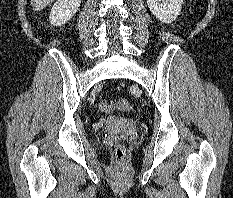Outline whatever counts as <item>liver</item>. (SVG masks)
I'll use <instances>...</instances> for the list:
<instances>
[{"label": "liver", "instance_id": "liver-1", "mask_svg": "<svg viewBox=\"0 0 233 198\" xmlns=\"http://www.w3.org/2000/svg\"><path fill=\"white\" fill-rule=\"evenodd\" d=\"M54 0H30L34 12L40 11Z\"/></svg>", "mask_w": 233, "mask_h": 198}]
</instances>
